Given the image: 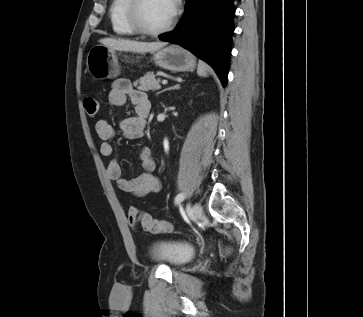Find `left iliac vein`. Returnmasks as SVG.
Returning <instances> with one entry per match:
<instances>
[{
    "mask_svg": "<svg viewBox=\"0 0 363 317\" xmlns=\"http://www.w3.org/2000/svg\"><path fill=\"white\" fill-rule=\"evenodd\" d=\"M202 214V206L200 203H195L192 208L190 209L189 211V216L192 218V219H197L201 216Z\"/></svg>",
    "mask_w": 363,
    "mask_h": 317,
    "instance_id": "obj_1",
    "label": "left iliac vein"
}]
</instances>
